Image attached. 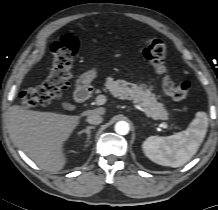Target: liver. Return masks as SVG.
Returning a JSON list of instances; mask_svg holds the SVG:
<instances>
[{
	"mask_svg": "<svg viewBox=\"0 0 218 210\" xmlns=\"http://www.w3.org/2000/svg\"><path fill=\"white\" fill-rule=\"evenodd\" d=\"M92 111L104 114V108L81 115L28 110L15 105L11 109V125L18 145L40 168L56 173L63 169L66 157L64 143L78 126L80 118Z\"/></svg>",
	"mask_w": 218,
	"mask_h": 210,
	"instance_id": "1",
	"label": "liver"
}]
</instances>
